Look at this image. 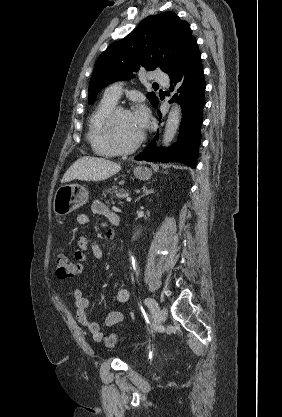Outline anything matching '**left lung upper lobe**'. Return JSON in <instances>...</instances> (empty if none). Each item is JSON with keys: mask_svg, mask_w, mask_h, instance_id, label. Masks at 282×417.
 I'll return each mask as SVG.
<instances>
[{"mask_svg": "<svg viewBox=\"0 0 282 417\" xmlns=\"http://www.w3.org/2000/svg\"><path fill=\"white\" fill-rule=\"evenodd\" d=\"M189 24L174 12L146 17L128 36L112 43L97 59L89 83L91 104L106 85L132 78L141 67L151 71L160 68L167 72L178 54L194 40ZM154 106L155 93H148Z\"/></svg>", "mask_w": 282, "mask_h": 417, "instance_id": "1", "label": "left lung upper lobe"}]
</instances>
